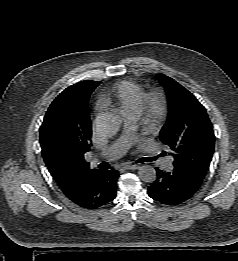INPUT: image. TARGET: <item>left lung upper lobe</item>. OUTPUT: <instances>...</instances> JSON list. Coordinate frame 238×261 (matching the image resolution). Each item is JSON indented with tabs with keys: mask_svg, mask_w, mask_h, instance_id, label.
Instances as JSON below:
<instances>
[{
	"mask_svg": "<svg viewBox=\"0 0 238 261\" xmlns=\"http://www.w3.org/2000/svg\"><path fill=\"white\" fill-rule=\"evenodd\" d=\"M168 99V120L161 141L173 151L174 168L203 180L214 152L213 126L204 106L172 78L158 74Z\"/></svg>",
	"mask_w": 238,
	"mask_h": 261,
	"instance_id": "5c2ea615",
	"label": "left lung upper lobe"
}]
</instances>
